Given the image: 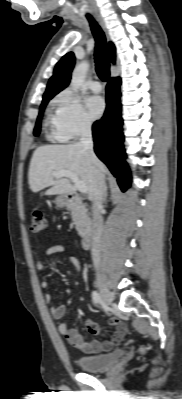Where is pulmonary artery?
Returning <instances> with one entry per match:
<instances>
[{"mask_svg":"<svg viewBox=\"0 0 182 399\" xmlns=\"http://www.w3.org/2000/svg\"><path fill=\"white\" fill-rule=\"evenodd\" d=\"M90 89L94 93H99L102 90V85L98 81H92L89 85Z\"/></svg>","mask_w":182,"mask_h":399,"instance_id":"pulmonary-artery-1","label":"pulmonary artery"}]
</instances>
